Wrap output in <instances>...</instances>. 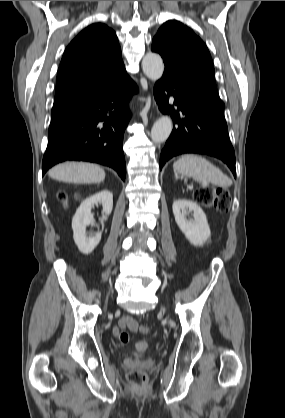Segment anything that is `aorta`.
<instances>
[{"label":"aorta","mask_w":285,"mask_h":418,"mask_svg":"<svg viewBox=\"0 0 285 418\" xmlns=\"http://www.w3.org/2000/svg\"><path fill=\"white\" fill-rule=\"evenodd\" d=\"M144 74L153 81L159 80L164 71V63L160 55L147 53L142 60ZM173 124L169 116L160 117L153 125L151 139L155 143H162L168 139L172 132Z\"/></svg>","instance_id":"1"}]
</instances>
